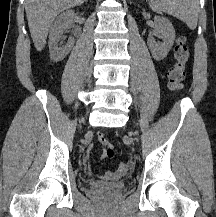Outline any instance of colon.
Masks as SVG:
<instances>
[{
	"label": "colon",
	"instance_id": "1",
	"mask_svg": "<svg viewBox=\"0 0 216 217\" xmlns=\"http://www.w3.org/2000/svg\"><path fill=\"white\" fill-rule=\"evenodd\" d=\"M174 57L176 62L169 70L168 86L171 91L178 92L181 89L182 83L186 77V64L189 58L187 40L183 33L178 35L174 48ZM98 141L103 147L104 156L107 158H112L114 156V149L108 137L103 133H100L98 135ZM121 169L123 171V167H121Z\"/></svg>",
	"mask_w": 216,
	"mask_h": 217
}]
</instances>
